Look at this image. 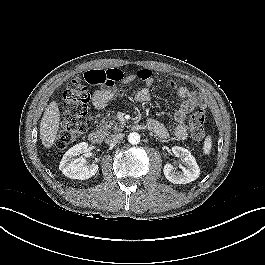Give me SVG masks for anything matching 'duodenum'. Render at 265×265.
<instances>
[{
    "label": "duodenum",
    "mask_w": 265,
    "mask_h": 265,
    "mask_svg": "<svg viewBox=\"0 0 265 265\" xmlns=\"http://www.w3.org/2000/svg\"><path fill=\"white\" fill-rule=\"evenodd\" d=\"M135 128L136 129H142L143 127H142V125L138 124L135 126ZM88 139L93 144H101L103 141V136L99 131L92 130L88 135Z\"/></svg>",
    "instance_id": "1"
}]
</instances>
